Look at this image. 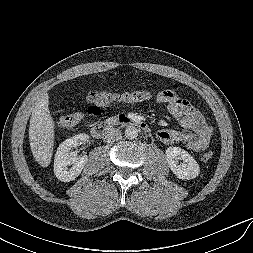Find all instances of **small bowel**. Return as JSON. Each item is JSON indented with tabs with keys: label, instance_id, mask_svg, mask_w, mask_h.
<instances>
[{
	"label": "small bowel",
	"instance_id": "obj_1",
	"mask_svg": "<svg viewBox=\"0 0 253 253\" xmlns=\"http://www.w3.org/2000/svg\"><path fill=\"white\" fill-rule=\"evenodd\" d=\"M156 102L165 105L167 111L179 125L188 130L187 132L175 129L159 130L156 136L160 142L168 144L183 141L186 147L193 152L206 149L212 135V127L205 122L198 109L172 90L160 91L156 96Z\"/></svg>",
	"mask_w": 253,
	"mask_h": 253
}]
</instances>
